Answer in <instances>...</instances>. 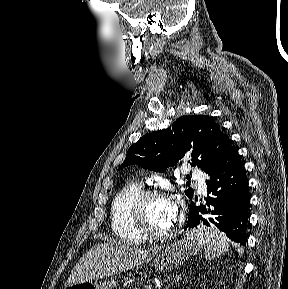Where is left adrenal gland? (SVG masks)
Listing matches in <instances>:
<instances>
[{
	"label": "left adrenal gland",
	"instance_id": "1",
	"mask_svg": "<svg viewBox=\"0 0 288 289\" xmlns=\"http://www.w3.org/2000/svg\"><path fill=\"white\" fill-rule=\"evenodd\" d=\"M181 278V274L176 275V277H174L173 281L171 282V284H169L166 289H168L174 282L178 281Z\"/></svg>",
	"mask_w": 288,
	"mask_h": 289
}]
</instances>
